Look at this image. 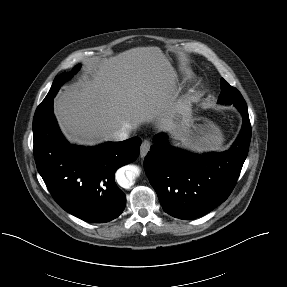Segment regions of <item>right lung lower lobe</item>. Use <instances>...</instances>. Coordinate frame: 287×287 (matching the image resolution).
<instances>
[{"instance_id": "1", "label": "right lung lower lobe", "mask_w": 287, "mask_h": 287, "mask_svg": "<svg viewBox=\"0 0 287 287\" xmlns=\"http://www.w3.org/2000/svg\"><path fill=\"white\" fill-rule=\"evenodd\" d=\"M53 98L43 100L33 119L38 172L66 212L87 222H109L126 204L125 194L115 183V171L137 159L141 139L133 137L97 147L70 145L53 115Z\"/></svg>"}]
</instances>
